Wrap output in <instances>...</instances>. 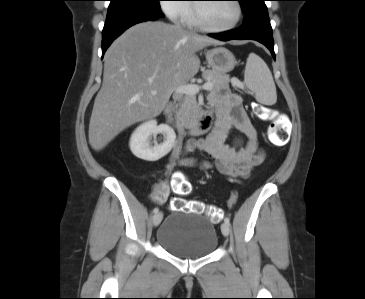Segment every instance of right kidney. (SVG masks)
I'll return each mask as SVG.
<instances>
[{"instance_id": "obj_1", "label": "right kidney", "mask_w": 365, "mask_h": 299, "mask_svg": "<svg viewBox=\"0 0 365 299\" xmlns=\"http://www.w3.org/2000/svg\"><path fill=\"white\" fill-rule=\"evenodd\" d=\"M163 135V142L151 141L152 136ZM176 140L174 130L166 125H157L156 120L141 124L131 135L130 150L139 159L157 161L167 155L173 148Z\"/></svg>"}]
</instances>
